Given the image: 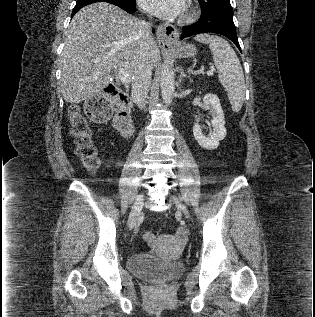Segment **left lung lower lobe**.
Wrapping results in <instances>:
<instances>
[{"mask_svg": "<svg viewBox=\"0 0 315 317\" xmlns=\"http://www.w3.org/2000/svg\"><path fill=\"white\" fill-rule=\"evenodd\" d=\"M182 31L181 39L205 32L224 35L232 40L241 51L233 22V15L223 14L217 17H211L202 12L200 19L196 23L184 26Z\"/></svg>", "mask_w": 315, "mask_h": 317, "instance_id": "0a47b994", "label": "left lung lower lobe"}]
</instances>
